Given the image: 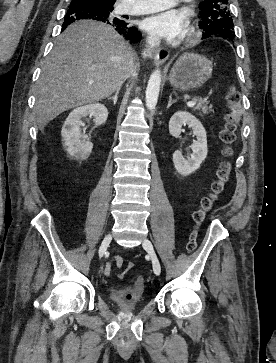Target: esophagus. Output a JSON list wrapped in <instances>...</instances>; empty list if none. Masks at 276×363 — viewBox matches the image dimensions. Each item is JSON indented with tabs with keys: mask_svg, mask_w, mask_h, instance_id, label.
<instances>
[{
	"mask_svg": "<svg viewBox=\"0 0 276 363\" xmlns=\"http://www.w3.org/2000/svg\"><path fill=\"white\" fill-rule=\"evenodd\" d=\"M169 57V50L166 48H159L155 51L154 59L157 66L162 65Z\"/></svg>",
	"mask_w": 276,
	"mask_h": 363,
	"instance_id": "1",
	"label": "esophagus"
}]
</instances>
